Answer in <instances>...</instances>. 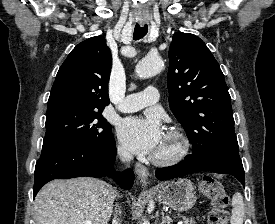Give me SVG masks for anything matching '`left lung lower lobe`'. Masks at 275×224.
Returning a JSON list of instances; mask_svg holds the SVG:
<instances>
[{
    "label": "left lung lower lobe",
    "instance_id": "1",
    "mask_svg": "<svg viewBox=\"0 0 275 224\" xmlns=\"http://www.w3.org/2000/svg\"><path fill=\"white\" fill-rule=\"evenodd\" d=\"M197 171H211L220 174H230L245 185L244 169L239 153H207L193 152L191 155L173 166L160 168L156 171L159 180H169L185 176Z\"/></svg>",
    "mask_w": 275,
    "mask_h": 224
}]
</instances>
